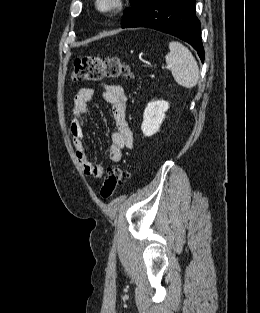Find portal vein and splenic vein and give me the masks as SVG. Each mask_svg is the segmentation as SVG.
<instances>
[{
  "mask_svg": "<svg viewBox=\"0 0 260 313\" xmlns=\"http://www.w3.org/2000/svg\"><path fill=\"white\" fill-rule=\"evenodd\" d=\"M162 68H163V69H164V68H167V69H168V68H169V66H165V67L163 66Z\"/></svg>",
  "mask_w": 260,
  "mask_h": 313,
  "instance_id": "obj_1",
  "label": "portal vein and splenic vein"
}]
</instances>
